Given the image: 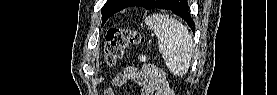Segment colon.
I'll list each match as a JSON object with an SVG mask.
<instances>
[{"label": "colon", "mask_w": 277, "mask_h": 95, "mask_svg": "<svg viewBox=\"0 0 277 95\" xmlns=\"http://www.w3.org/2000/svg\"><path fill=\"white\" fill-rule=\"evenodd\" d=\"M143 41L142 36L132 29L110 28L105 34L104 57L108 66H114L130 46ZM157 73H161L158 71Z\"/></svg>", "instance_id": "1"}]
</instances>
